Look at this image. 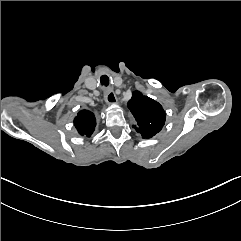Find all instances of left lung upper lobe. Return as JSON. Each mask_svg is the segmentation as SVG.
<instances>
[{
  "instance_id": "1",
  "label": "left lung upper lobe",
  "mask_w": 241,
  "mask_h": 241,
  "mask_svg": "<svg viewBox=\"0 0 241 241\" xmlns=\"http://www.w3.org/2000/svg\"><path fill=\"white\" fill-rule=\"evenodd\" d=\"M128 108L137 121L135 129L143 138H151L162 129L165 111L158 102L143 96L139 91H134L128 101Z\"/></svg>"
}]
</instances>
